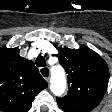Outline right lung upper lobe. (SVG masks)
I'll return each instance as SVG.
<instances>
[{
  "instance_id": "right-lung-upper-lobe-1",
  "label": "right lung upper lobe",
  "mask_w": 112,
  "mask_h": 112,
  "mask_svg": "<svg viewBox=\"0 0 112 112\" xmlns=\"http://www.w3.org/2000/svg\"><path fill=\"white\" fill-rule=\"evenodd\" d=\"M47 85L34 63L20 57L18 48H0V111L27 112Z\"/></svg>"
}]
</instances>
